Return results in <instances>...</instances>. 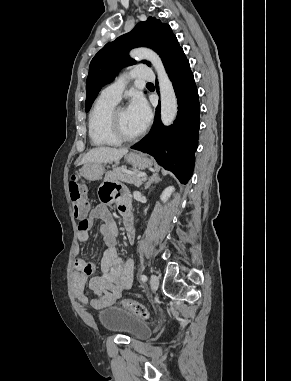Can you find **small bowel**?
Listing matches in <instances>:
<instances>
[{
  "label": "small bowel",
  "mask_w": 291,
  "mask_h": 381,
  "mask_svg": "<svg viewBox=\"0 0 291 381\" xmlns=\"http://www.w3.org/2000/svg\"><path fill=\"white\" fill-rule=\"evenodd\" d=\"M100 194L104 202L96 205L88 217L81 220L77 240L81 243L88 242L89 230L96 219L102 221L99 227L106 249L99 264V275H93L96 271L95 264L80 257V249H75L76 259L74 262L75 273L72 277L73 291L75 296L84 304L88 302L84 290L86 285L96 295L90 304L95 309H103L114 304L125 290L132 287L133 263L124 261L116 247L117 228L109 212L106 202L115 200L118 210L123 217L131 242L134 241V229L130 215V202L126 192L118 187H104ZM86 225L82 228V225Z\"/></svg>",
  "instance_id": "obj_1"
}]
</instances>
